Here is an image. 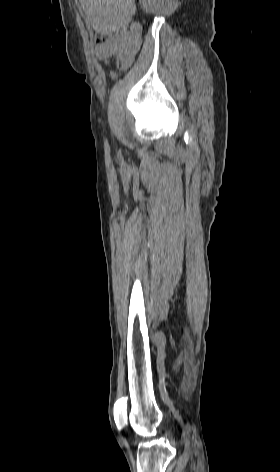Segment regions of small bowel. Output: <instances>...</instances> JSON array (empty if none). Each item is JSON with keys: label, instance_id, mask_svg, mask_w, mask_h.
Returning a JSON list of instances; mask_svg holds the SVG:
<instances>
[{"label": "small bowel", "instance_id": "obj_1", "mask_svg": "<svg viewBox=\"0 0 280 472\" xmlns=\"http://www.w3.org/2000/svg\"><path fill=\"white\" fill-rule=\"evenodd\" d=\"M140 44L141 27L138 23H133L130 31L115 34L107 44L96 46L94 52L103 61H109L112 58L117 61L126 56L130 58L131 64Z\"/></svg>", "mask_w": 280, "mask_h": 472}]
</instances>
